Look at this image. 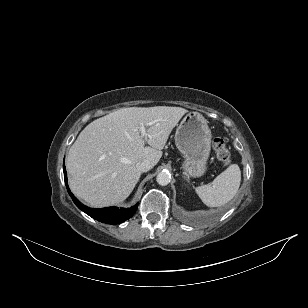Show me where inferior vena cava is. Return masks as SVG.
Wrapping results in <instances>:
<instances>
[{"label":"inferior vena cava","mask_w":308,"mask_h":308,"mask_svg":"<svg viewBox=\"0 0 308 308\" xmlns=\"http://www.w3.org/2000/svg\"><path fill=\"white\" fill-rule=\"evenodd\" d=\"M136 168L140 171V172H147L152 168V164L149 160H142L140 162H138L136 164Z\"/></svg>","instance_id":"obj_1"}]
</instances>
